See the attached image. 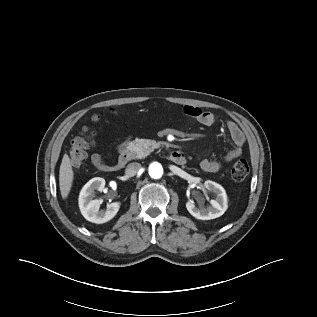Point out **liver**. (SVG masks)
Listing matches in <instances>:
<instances>
[{
	"label": "liver",
	"instance_id": "liver-1",
	"mask_svg": "<svg viewBox=\"0 0 317 317\" xmlns=\"http://www.w3.org/2000/svg\"><path fill=\"white\" fill-rule=\"evenodd\" d=\"M73 182V170L67 154L63 156L59 170L60 193L63 199L68 197Z\"/></svg>",
	"mask_w": 317,
	"mask_h": 317
}]
</instances>
